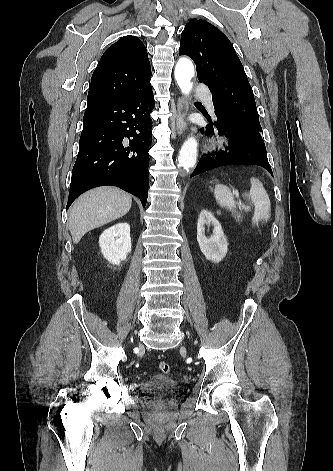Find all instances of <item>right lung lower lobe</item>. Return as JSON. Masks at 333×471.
<instances>
[{
    "instance_id": "1",
    "label": "right lung lower lobe",
    "mask_w": 333,
    "mask_h": 471,
    "mask_svg": "<svg viewBox=\"0 0 333 471\" xmlns=\"http://www.w3.org/2000/svg\"><path fill=\"white\" fill-rule=\"evenodd\" d=\"M153 107L148 80L120 98L85 111L67 208L80 194L104 185L117 186L146 205Z\"/></svg>"
}]
</instances>
